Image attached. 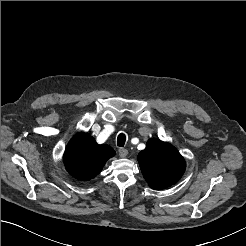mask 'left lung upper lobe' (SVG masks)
Returning a JSON list of instances; mask_svg holds the SVG:
<instances>
[{
    "instance_id": "left-lung-upper-lobe-1",
    "label": "left lung upper lobe",
    "mask_w": 246,
    "mask_h": 246,
    "mask_svg": "<svg viewBox=\"0 0 246 246\" xmlns=\"http://www.w3.org/2000/svg\"><path fill=\"white\" fill-rule=\"evenodd\" d=\"M137 160L149 186L158 190L175 184L186 168L185 160L178 150L159 139L148 140Z\"/></svg>"
}]
</instances>
